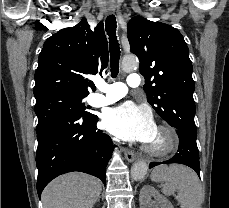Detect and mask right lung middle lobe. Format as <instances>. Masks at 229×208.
Here are the masks:
<instances>
[{"label": "right lung middle lobe", "instance_id": "right-lung-middle-lobe-1", "mask_svg": "<svg viewBox=\"0 0 229 208\" xmlns=\"http://www.w3.org/2000/svg\"><path fill=\"white\" fill-rule=\"evenodd\" d=\"M82 98L81 96L57 95L36 101L37 130L65 114L90 115L89 112L85 111V105L81 103Z\"/></svg>", "mask_w": 229, "mask_h": 208}]
</instances>
